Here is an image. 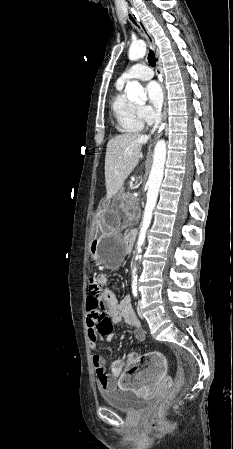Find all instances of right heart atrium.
Listing matches in <instances>:
<instances>
[{
  "label": "right heart atrium",
  "mask_w": 233,
  "mask_h": 449,
  "mask_svg": "<svg viewBox=\"0 0 233 449\" xmlns=\"http://www.w3.org/2000/svg\"><path fill=\"white\" fill-rule=\"evenodd\" d=\"M139 112L141 117L146 123H153L158 119V113L153 110L150 106L142 105L139 106Z\"/></svg>",
  "instance_id": "right-heart-atrium-1"
}]
</instances>
